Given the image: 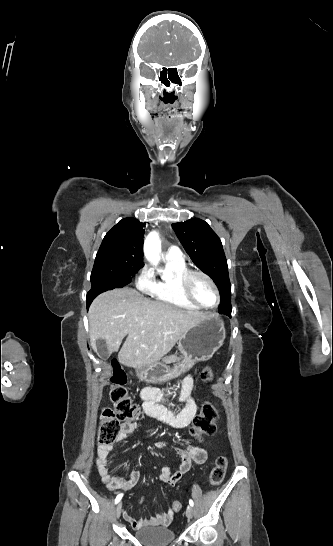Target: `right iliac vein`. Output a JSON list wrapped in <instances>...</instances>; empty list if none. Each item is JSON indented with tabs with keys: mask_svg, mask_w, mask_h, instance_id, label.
I'll return each instance as SVG.
<instances>
[{
	"mask_svg": "<svg viewBox=\"0 0 333 546\" xmlns=\"http://www.w3.org/2000/svg\"><path fill=\"white\" fill-rule=\"evenodd\" d=\"M121 512H122V503L120 502V503H118V505L116 506V509H115L116 518L120 517Z\"/></svg>",
	"mask_w": 333,
	"mask_h": 546,
	"instance_id": "1",
	"label": "right iliac vein"
}]
</instances>
